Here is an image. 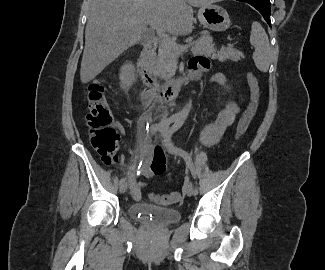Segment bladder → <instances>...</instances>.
Masks as SVG:
<instances>
[{"instance_id": "31cf9c89", "label": "bladder", "mask_w": 325, "mask_h": 270, "mask_svg": "<svg viewBox=\"0 0 325 270\" xmlns=\"http://www.w3.org/2000/svg\"><path fill=\"white\" fill-rule=\"evenodd\" d=\"M131 218L149 221L156 226H167L180 221L181 213L172 207H161L144 202H134L128 206Z\"/></svg>"}]
</instances>
